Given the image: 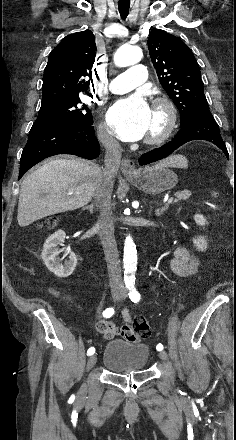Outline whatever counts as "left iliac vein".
Here are the masks:
<instances>
[{
	"label": "left iliac vein",
	"instance_id": "obj_1",
	"mask_svg": "<svg viewBox=\"0 0 236 440\" xmlns=\"http://www.w3.org/2000/svg\"><path fill=\"white\" fill-rule=\"evenodd\" d=\"M126 297V293H123L122 295H121V299H124ZM159 357L162 359V360H167L168 359V355H167V353L165 352V351H161L159 354Z\"/></svg>",
	"mask_w": 236,
	"mask_h": 440
}]
</instances>
